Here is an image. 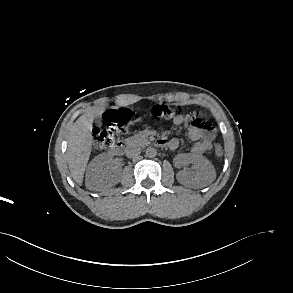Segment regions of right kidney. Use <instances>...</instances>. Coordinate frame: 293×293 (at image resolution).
<instances>
[{"label":"right kidney","mask_w":293,"mask_h":293,"mask_svg":"<svg viewBox=\"0 0 293 293\" xmlns=\"http://www.w3.org/2000/svg\"><path fill=\"white\" fill-rule=\"evenodd\" d=\"M111 162V159L106 154H100L90 162L86 172V186L88 189L98 190L101 186H114L119 182V171L109 174L106 170Z\"/></svg>","instance_id":"obj_1"}]
</instances>
